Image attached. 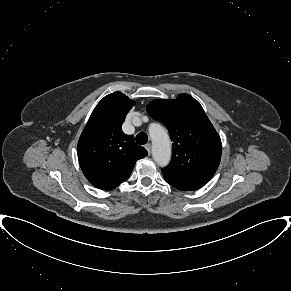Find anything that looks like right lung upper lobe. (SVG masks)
<instances>
[{"instance_id": "right-lung-upper-lobe-1", "label": "right lung upper lobe", "mask_w": 291, "mask_h": 291, "mask_svg": "<svg viewBox=\"0 0 291 291\" xmlns=\"http://www.w3.org/2000/svg\"><path fill=\"white\" fill-rule=\"evenodd\" d=\"M134 102L120 92L105 96L92 112L77 145L78 159L87 180L110 190L131 174L136 161L148 155L133 135L121 126Z\"/></svg>"}]
</instances>
